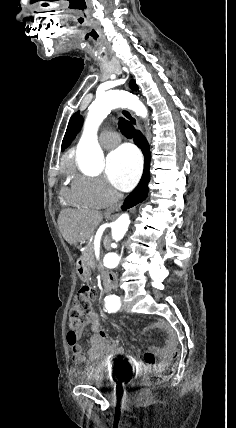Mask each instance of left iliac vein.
<instances>
[{
	"label": "left iliac vein",
	"instance_id": "left-iliac-vein-1",
	"mask_svg": "<svg viewBox=\"0 0 236 428\" xmlns=\"http://www.w3.org/2000/svg\"><path fill=\"white\" fill-rule=\"evenodd\" d=\"M123 298H124V297H123V296H121V297H120V301H123Z\"/></svg>",
	"mask_w": 236,
	"mask_h": 428
}]
</instances>
